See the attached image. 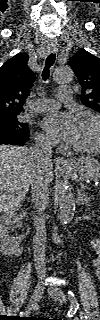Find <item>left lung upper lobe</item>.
Here are the masks:
<instances>
[{
    "label": "left lung upper lobe",
    "instance_id": "left-lung-upper-lobe-1",
    "mask_svg": "<svg viewBox=\"0 0 100 320\" xmlns=\"http://www.w3.org/2000/svg\"><path fill=\"white\" fill-rule=\"evenodd\" d=\"M68 64L82 86V103L100 112V59L79 49Z\"/></svg>",
    "mask_w": 100,
    "mask_h": 320
}]
</instances>
